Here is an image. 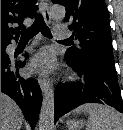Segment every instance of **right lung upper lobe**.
<instances>
[{
	"mask_svg": "<svg viewBox=\"0 0 123 130\" xmlns=\"http://www.w3.org/2000/svg\"><path fill=\"white\" fill-rule=\"evenodd\" d=\"M37 0H1V45H6L13 38L18 39L19 30L24 29L22 20L26 17H34ZM14 24L18 27L13 28ZM15 35V37H13Z\"/></svg>",
	"mask_w": 123,
	"mask_h": 130,
	"instance_id": "obj_1",
	"label": "right lung upper lobe"
}]
</instances>
